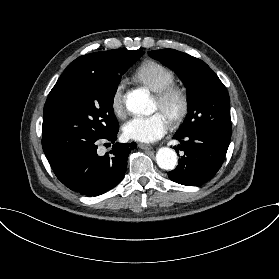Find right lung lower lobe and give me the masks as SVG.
Listing matches in <instances>:
<instances>
[{"mask_svg": "<svg viewBox=\"0 0 279 279\" xmlns=\"http://www.w3.org/2000/svg\"><path fill=\"white\" fill-rule=\"evenodd\" d=\"M119 127L104 139L113 144L111 156L97 154V142L68 147L48 159L56 177L82 195H101L118 185L125 175L127 158L137 145L115 143Z\"/></svg>", "mask_w": 279, "mask_h": 279, "instance_id": "obj_1", "label": "right lung lower lobe"}]
</instances>
